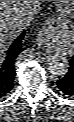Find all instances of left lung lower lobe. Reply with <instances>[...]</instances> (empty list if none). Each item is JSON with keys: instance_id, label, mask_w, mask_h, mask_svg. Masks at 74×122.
Segmentation results:
<instances>
[{"instance_id": "obj_1", "label": "left lung lower lobe", "mask_w": 74, "mask_h": 122, "mask_svg": "<svg viewBox=\"0 0 74 122\" xmlns=\"http://www.w3.org/2000/svg\"><path fill=\"white\" fill-rule=\"evenodd\" d=\"M56 90L63 95L74 96V56L68 73L56 82Z\"/></svg>"}]
</instances>
